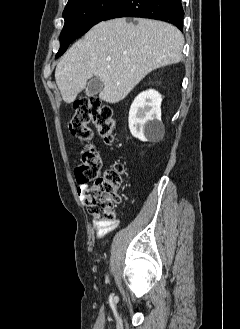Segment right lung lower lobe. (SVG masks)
Wrapping results in <instances>:
<instances>
[{"instance_id": "1", "label": "right lung lower lobe", "mask_w": 240, "mask_h": 329, "mask_svg": "<svg viewBox=\"0 0 240 329\" xmlns=\"http://www.w3.org/2000/svg\"><path fill=\"white\" fill-rule=\"evenodd\" d=\"M184 11L180 0H121L102 21L119 17L162 20L183 30Z\"/></svg>"}]
</instances>
